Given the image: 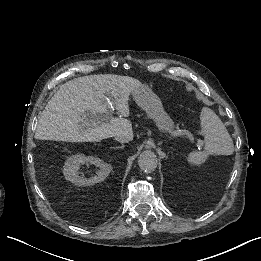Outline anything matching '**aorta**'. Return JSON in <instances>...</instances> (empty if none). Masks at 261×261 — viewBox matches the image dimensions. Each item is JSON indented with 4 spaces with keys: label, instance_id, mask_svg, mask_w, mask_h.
I'll use <instances>...</instances> for the list:
<instances>
[{
    "label": "aorta",
    "instance_id": "1",
    "mask_svg": "<svg viewBox=\"0 0 261 261\" xmlns=\"http://www.w3.org/2000/svg\"><path fill=\"white\" fill-rule=\"evenodd\" d=\"M157 163L155 153L149 150L142 152L138 158V165L145 173L153 172L157 167Z\"/></svg>",
    "mask_w": 261,
    "mask_h": 261
}]
</instances>
